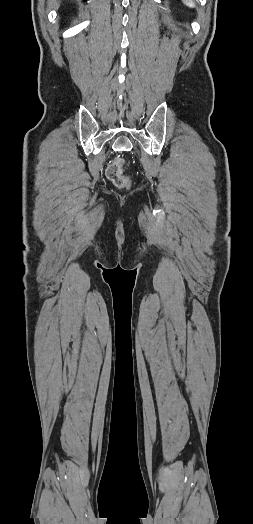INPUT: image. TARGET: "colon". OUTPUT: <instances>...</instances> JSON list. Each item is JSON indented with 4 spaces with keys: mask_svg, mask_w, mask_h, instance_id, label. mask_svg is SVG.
Instances as JSON below:
<instances>
[{
    "mask_svg": "<svg viewBox=\"0 0 253 524\" xmlns=\"http://www.w3.org/2000/svg\"><path fill=\"white\" fill-rule=\"evenodd\" d=\"M123 166L124 161L116 158L106 168L107 178L118 188H125L130 184V179L124 173Z\"/></svg>",
    "mask_w": 253,
    "mask_h": 524,
    "instance_id": "1",
    "label": "colon"
}]
</instances>
